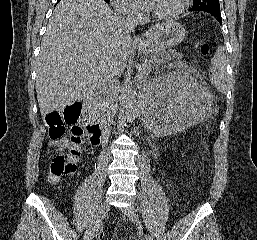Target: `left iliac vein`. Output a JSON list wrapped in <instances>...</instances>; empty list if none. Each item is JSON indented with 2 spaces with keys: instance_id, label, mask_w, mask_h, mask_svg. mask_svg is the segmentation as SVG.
I'll use <instances>...</instances> for the list:
<instances>
[{
  "instance_id": "1",
  "label": "left iliac vein",
  "mask_w": 257,
  "mask_h": 240,
  "mask_svg": "<svg viewBox=\"0 0 257 240\" xmlns=\"http://www.w3.org/2000/svg\"><path fill=\"white\" fill-rule=\"evenodd\" d=\"M123 213L134 223H139L137 210L134 206H127L123 208ZM145 240H153L151 236L145 235Z\"/></svg>"
}]
</instances>
